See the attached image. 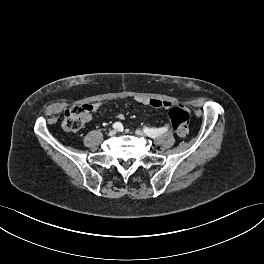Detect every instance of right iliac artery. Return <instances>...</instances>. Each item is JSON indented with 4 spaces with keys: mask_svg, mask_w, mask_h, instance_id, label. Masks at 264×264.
<instances>
[{
    "mask_svg": "<svg viewBox=\"0 0 264 264\" xmlns=\"http://www.w3.org/2000/svg\"><path fill=\"white\" fill-rule=\"evenodd\" d=\"M113 128L121 130L123 128L122 123L121 122H115L113 124Z\"/></svg>",
    "mask_w": 264,
    "mask_h": 264,
    "instance_id": "1",
    "label": "right iliac artery"
}]
</instances>
